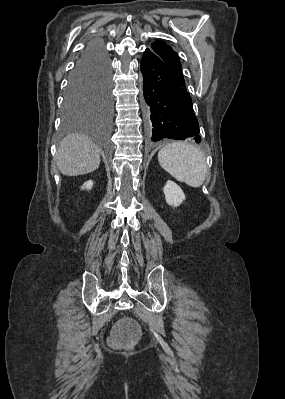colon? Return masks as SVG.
Returning <instances> with one entry per match:
<instances>
[{
  "label": "colon",
  "instance_id": "obj_1",
  "mask_svg": "<svg viewBox=\"0 0 285 399\" xmlns=\"http://www.w3.org/2000/svg\"><path fill=\"white\" fill-rule=\"evenodd\" d=\"M141 337V330L137 323L133 321H120L113 328L110 342L114 346L130 347Z\"/></svg>",
  "mask_w": 285,
  "mask_h": 399
}]
</instances>
